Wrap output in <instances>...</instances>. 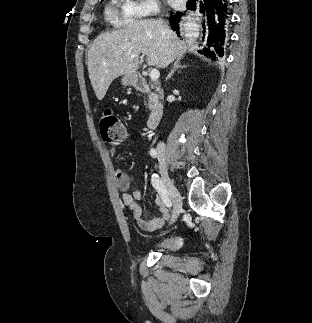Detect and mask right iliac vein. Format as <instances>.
Masks as SVG:
<instances>
[{
  "mask_svg": "<svg viewBox=\"0 0 312 323\" xmlns=\"http://www.w3.org/2000/svg\"><path fill=\"white\" fill-rule=\"evenodd\" d=\"M160 172L163 178L164 186L167 190V194L174 203V210H173V216H172V223H173L177 220L179 214L181 213L182 197L179 191L177 190V188L174 186L173 182L171 181V178L169 176V173L165 164L161 166Z\"/></svg>",
  "mask_w": 312,
  "mask_h": 323,
  "instance_id": "obj_1",
  "label": "right iliac vein"
}]
</instances>
